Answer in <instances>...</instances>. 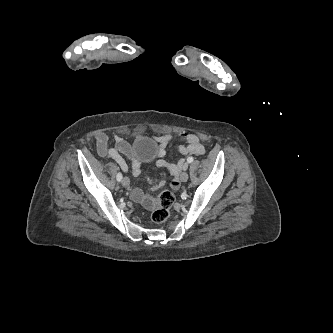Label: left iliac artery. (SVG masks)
<instances>
[{
	"label": "left iliac artery",
	"mask_w": 333,
	"mask_h": 333,
	"mask_svg": "<svg viewBox=\"0 0 333 333\" xmlns=\"http://www.w3.org/2000/svg\"><path fill=\"white\" fill-rule=\"evenodd\" d=\"M192 162H193V158H192V157H189V158H188V163H192ZM186 168H187V167H186ZM186 168H185V169H186Z\"/></svg>",
	"instance_id": "obj_1"
}]
</instances>
